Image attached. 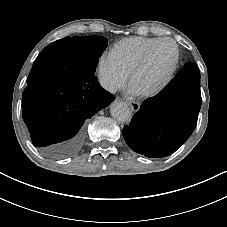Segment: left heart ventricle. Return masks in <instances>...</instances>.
<instances>
[{
  "label": "left heart ventricle",
  "instance_id": "left-heart-ventricle-1",
  "mask_svg": "<svg viewBox=\"0 0 227 227\" xmlns=\"http://www.w3.org/2000/svg\"><path fill=\"white\" fill-rule=\"evenodd\" d=\"M176 49L169 42L155 47L147 65L133 79L132 86L141 94L155 88L166 76L174 58Z\"/></svg>",
  "mask_w": 227,
  "mask_h": 227
}]
</instances>
